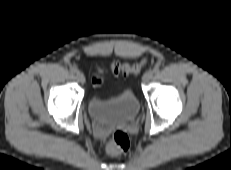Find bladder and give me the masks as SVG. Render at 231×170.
Masks as SVG:
<instances>
[{
  "mask_svg": "<svg viewBox=\"0 0 231 170\" xmlns=\"http://www.w3.org/2000/svg\"><path fill=\"white\" fill-rule=\"evenodd\" d=\"M139 100L130 89L118 95L103 99L97 95L90 98L88 113L94 124L114 127L132 121L139 112Z\"/></svg>",
  "mask_w": 231,
  "mask_h": 170,
  "instance_id": "31cf9c89",
  "label": "bladder"
}]
</instances>
